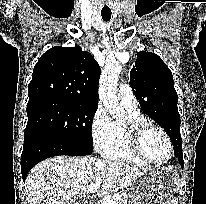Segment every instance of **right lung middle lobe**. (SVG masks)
<instances>
[{"instance_id":"obj_1","label":"right lung middle lobe","mask_w":206,"mask_h":204,"mask_svg":"<svg viewBox=\"0 0 206 204\" xmlns=\"http://www.w3.org/2000/svg\"><path fill=\"white\" fill-rule=\"evenodd\" d=\"M97 108L94 104L60 99L28 101L24 144L37 139L53 140L71 146L84 156L91 155V123Z\"/></svg>"}]
</instances>
